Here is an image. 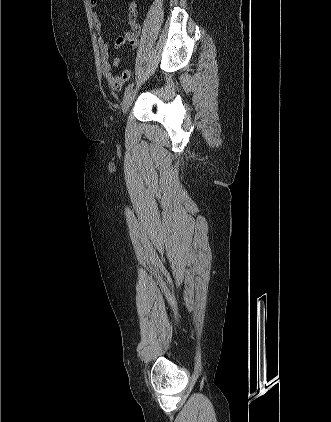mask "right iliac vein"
I'll list each match as a JSON object with an SVG mask.
<instances>
[{"label":"right iliac vein","instance_id":"63e3f726","mask_svg":"<svg viewBox=\"0 0 331 422\" xmlns=\"http://www.w3.org/2000/svg\"><path fill=\"white\" fill-rule=\"evenodd\" d=\"M136 92H137V90H131L129 93H127L124 96V99H123V102H122V105H121L123 114L127 113L129 107L133 103V100L136 96Z\"/></svg>","mask_w":331,"mask_h":422}]
</instances>
